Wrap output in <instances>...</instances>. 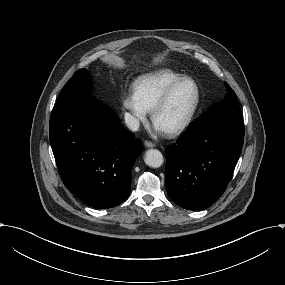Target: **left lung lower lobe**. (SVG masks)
Here are the masks:
<instances>
[{"mask_svg": "<svg viewBox=\"0 0 285 285\" xmlns=\"http://www.w3.org/2000/svg\"><path fill=\"white\" fill-rule=\"evenodd\" d=\"M244 140L240 107L214 108L192 123L166 149L169 197L184 209L202 210L225 191Z\"/></svg>", "mask_w": 285, "mask_h": 285, "instance_id": "left-lung-lower-lobe-1", "label": "left lung lower lobe"}]
</instances>
